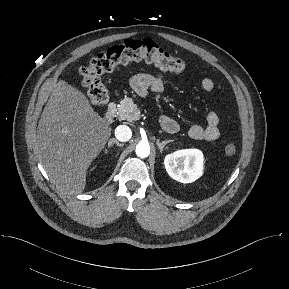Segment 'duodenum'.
Wrapping results in <instances>:
<instances>
[{
  "label": "duodenum",
  "instance_id": "obj_1",
  "mask_svg": "<svg viewBox=\"0 0 289 289\" xmlns=\"http://www.w3.org/2000/svg\"><path fill=\"white\" fill-rule=\"evenodd\" d=\"M115 111H116V106L114 104L109 105L104 115V120L107 123H111L113 121L114 116H115Z\"/></svg>",
  "mask_w": 289,
  "mask_h": 289
}]
</instances>
